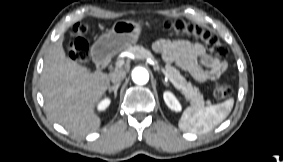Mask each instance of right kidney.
Instances as JSON below:
<instances>
[{"label": "right kidney", "mask_w": 283, "mask_h": 162, "mask_svg": "<svg viewBox=\"0 0 283 162\" xmlns=\"http://www.w3.org/2000/svg\"><path fill=\"white\" fill-rule=\"evenodd\" d=\"M110 104V100L108 98L103 99L99 104H98V110L102 111L105 110Z\"/></svg>", "instance_id": "obj_1"}]
</instances>
